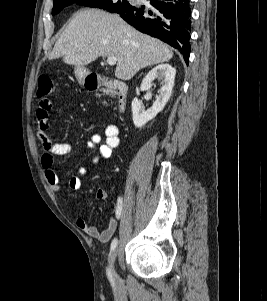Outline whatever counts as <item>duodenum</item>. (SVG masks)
<instances>
[{"label":"duodenum","instance_id":"410a0bca","mask_svg":"<svg viewBox=\"0 0 267 301\" xmlns=\"http://www.w3.org/2000/svg\"><path fill=\"white\" fill-rule=\"evenodd\" d=\"M86 89L90 91H101L110 94L114 92L117 96V110L123 113L127 105V84L120 80L101 79L99 76L93 74H86L84 76Z\"/></svg>","mask_w":267,"mask_h":301}]
</instances>
